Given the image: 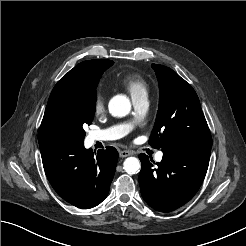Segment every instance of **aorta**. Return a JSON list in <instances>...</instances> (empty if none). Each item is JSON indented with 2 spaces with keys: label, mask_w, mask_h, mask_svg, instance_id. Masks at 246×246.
I'll list each match as a JSON object with an SVG mask.
<instances>
[{
  "label": "aorta",
  "mask_w": 246,
  "mask_h": 246,
  "mask_svg": "<svg viewBox=\"0 0 246 246\" xmlns=\"http://www.w3.org/2000/svg\"><path fill=\"white\" fill-rule=\"evenodd\" d=\"M109 111L113 116L124 117L131 111V103L124 95H117L109 102ZM140 161L136 157H128L123 163V168L128 174H136L140 170Z\"/></svg>",
  "instance_id": "obj_1"
}]
</instances>
